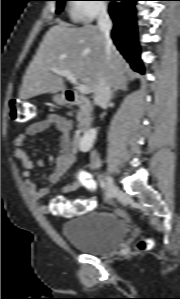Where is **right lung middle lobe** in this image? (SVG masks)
I'll use <instances>...</instances> for the list:
<instances>
[{"instance_id": "dd1d6c3e", "label": "right lung middle lobe", "mask_w": 180, "mask_h": 299, "mask_svg": "<svg viewBox=\"0 0 180 299\" xmlns=\"http://www.w3.org/2000/svg\"><path fill=\"white\" fill-rule=\"evenodd\" d=\"M58 1L56 13H60L63 10L64 2L67 0H56Z\"/></svg>"}]
</instances>
